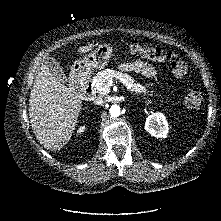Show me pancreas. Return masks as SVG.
Instances as JSON below:
<instances>
[{
  "instance_id": "pancreas-1",
  "label": "pancreas",
  "mask_w": 221,
  "mask_h": 221,
  "mask_svg": "<svg viewBox=\"0 0 221 221\" xmlns=\"http://www.w3.org/2000/svg\"><path fill=\"white\" fill-rule=\"evenodd\" d=\"M115 78L119 80L128 91L135 92L136 94H148L153 96L145 87L138 83H134L135 80L128 74L118 72L112 69H105L100 71L94 76V87L101 94L106 95L110 92V86L108 85V80Z\"/></svg>"
}]
</instances>
